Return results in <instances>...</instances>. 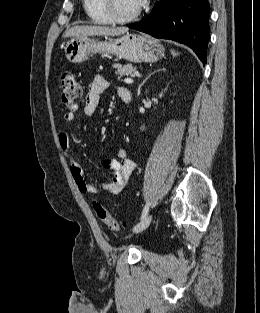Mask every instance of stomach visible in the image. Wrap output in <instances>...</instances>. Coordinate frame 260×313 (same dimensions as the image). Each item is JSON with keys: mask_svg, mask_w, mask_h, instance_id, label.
<instances>
[{"mask_svg": "<svg viewBox=\"0 0 260 313\" xmlns=\"http://www.w3.org/2000/svg\"><path fill=\"white\" fill-rule=\"evenodd\" d=\"M65 56L72 63L88 59L90 54H114L131 62H156L164 56V48L155 39L142 34H129L117 39L99 41L89 37H73L65 47Z\"/></svg>", "mask_w": 260, "mask_h": 313, "instance_id": "0dacf381", "label": "stomach"}]
</instances>
